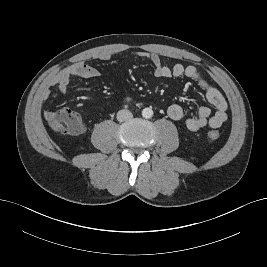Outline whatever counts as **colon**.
I'll return each mask as SVG.
<instances>
[{
    "instance_id": "obj_1",
    "label": "colon",
    "mask_w": 267,
    "mask_h": 267,
    "mask_svg": "<svg viewBox=\"0 0 267 267\" xmlns=\"http://www.w3.org/2000/svg\"><path fill=\"white\" fill-rule=\"evenodd\" d=\"M50 126L62 134H74L82 127L80 116L73 110L62 108L54 111L48 120ZM210 140H217L219 133L215 130H210L207 133Z\"/></svg>"
}]
</instances>
